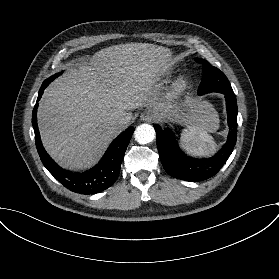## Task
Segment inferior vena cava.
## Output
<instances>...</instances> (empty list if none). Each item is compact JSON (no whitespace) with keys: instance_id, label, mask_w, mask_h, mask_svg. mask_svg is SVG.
Returning <instances> with one entry per match:
<instances>
[{"instance_id":"1","label":"inferior vena cava","mask_w":279,"mask_h":279,"mask_svg":"<svg viewBox=\"0 0 279 279\" xmlns=\"http://www.w3.org/2000/svg\"><path fill=\"white\" fill-rule=\"evenodd\" d=\"M130 121V117L127 112H123L117 115H114L108 121L109 124L115 125L117 129H121V127L126 126Z\"/></svg>"}]
</instances>
